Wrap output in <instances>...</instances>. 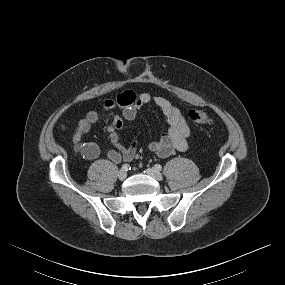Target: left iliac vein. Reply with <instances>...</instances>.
<instances>
[{
    "label": "left iliac vein",
    "instance_id": "left-iliac-vein-1",
    "mask_svg": "<svg viewBox=\"0 0 285 285\" xmlns=\"http://www.w3.org/2000/svg\"><path fill=\"white\" fill-rule=\"evenodd\" d=\"M147 174L151 177H153L154 179L158 180V181H162L163 180V175L157 171L156 169L154 168H148L146 170Z\"/></svg>",
    "mask_w": 285,
    "mask_h": 285
}]
</instances>
